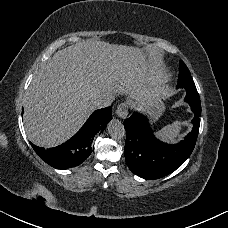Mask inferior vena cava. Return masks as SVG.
Returning <instances> with one entry per match:
<instances>
[{
    "label": "inferior vena cava",
    "instance_id": "1",
    "mask_svg": "<svg viewBox=\"0 0 228 228\" xmlns=\"http://www.w3.org/2000/svg\"><path fill=\"white\" fill-rule=\"evenodd\" d=\"M89 96L91 98L93 110L108 108L112 105L115 99L112 93H105L99 96H95V94H91Z\"/></svg>",
    "mask_w": 228,
    "mask_h": 228
}]
</instances>
